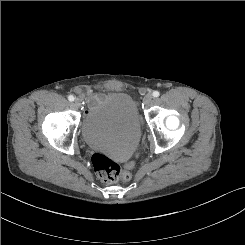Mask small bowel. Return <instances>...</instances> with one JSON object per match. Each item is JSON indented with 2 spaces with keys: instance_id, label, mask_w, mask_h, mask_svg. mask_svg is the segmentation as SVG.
Segmentation results:
<instances>
[{
  "instance_id": "1",
  "label": "small bowel",
  "mask_w": 245,
  "mask_h": 245,
  "mask_svg": "<svg viewBox=\"0 0 245 245\" xmlns=\"http://www.w3.org/2000/svg\"><path fill=\"white\" fill-rule=\"evenodd\" d=\"M99 100H100V97L92 95L89 98V105L93 107Z\"/></svg>"
}]
</instances>
